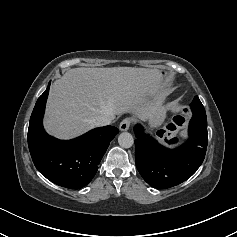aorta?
I'll return each mask as SVG.
<instances>
[{"label": "aorta", "mask_w": 237, "mask_h": 237, "mask_svg": "<svg viewBox=\"0 0 237 237\" xmlns=\"http://www.w3.org/2000/svg\"><path fill=\"white\" fill-rule=\"evenodd\" d=\"M118 143L122 148H130L134 143L133 136L128 132H123L118 137Z\"/></svg>", "instance_id": "aorta-1"}]
</instances>
